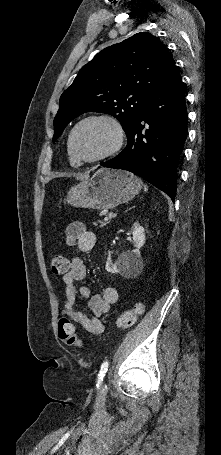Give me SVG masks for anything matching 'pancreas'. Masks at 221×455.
<instances>
[{"label":"pancreas","mask_w":221,"mask_h":455,"mask_svg":"<svg viewBox=\"0 0 221 455\" xmlns=\"http://www.w3.org/2000/svg\"><path fill=\"white\" fill-rule=\"evenodd\" d=\"M98 223L100 224V226H105L107 224L105 221H101V220H99Z\"/></svg>","instance_id":"obj_1"}]
</instances>
